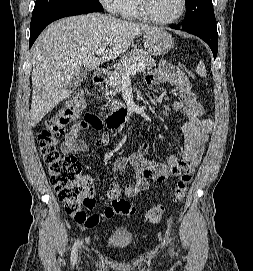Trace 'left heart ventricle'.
<instances>
[{"label":"left heart ventricle","instance_id":"b2bd125f","mask_svg":"<svg viewBox=\"0 0 253 271\" xmlns=\"http://www.w3.org/2000/svg\"><path fill=\"white\" fill-rule=\"evenodd\" d=\"M147 7L154 17L168 19L179 12L181 0H147Z\"/></svg>","mask_w":253,"mask_h":271}]
</instances>
